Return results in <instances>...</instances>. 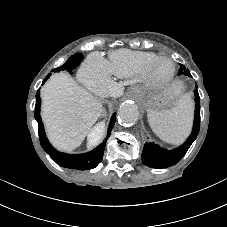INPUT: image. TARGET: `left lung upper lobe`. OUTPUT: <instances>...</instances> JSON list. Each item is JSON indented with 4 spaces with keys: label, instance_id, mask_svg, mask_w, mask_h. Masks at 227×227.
I'll use <instances>...</instances> for the list:
<instances>
[{
    "label": "left lung upper lobe",
    "instance_id": "1",
    "mask_svg": "<svg viewBox=\"0 0 227 227\" xmlns=\"http://www.w3.org/2000/svg\"><path fill=\"white\" fill-rule=\"evenodd\" d=\"M179 74H184V75H187V76H191L189 70H186V68L183 65H181V68L179 70Z\"/></svg>",
    "mask_w": 227,
    "mask_h": 227
}]
</instances>
